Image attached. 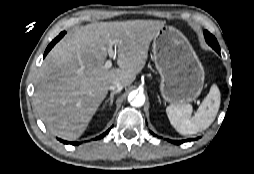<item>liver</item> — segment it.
<instances>
[{
	"instance_id": "obj_1",
	"label": "liver",
	"mask_w": 254,
	"mask_h": 174,
	"mask_svg": "<svg viewBox=\"0 0 254 174\" xmlns=\"http://www.w3.org/2000/svg\"><path fill=\"white\" fill-rule=\"evenodd\" d=\"M160 20L95 22L67 35L48 53L36 77L34 107L47 129L65 140L86 130L118 81L129 86L144 68ZM117 41V65L106 69L107 48Z\"/></svg>"
}]
</instances>
